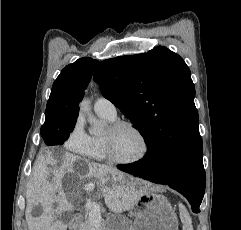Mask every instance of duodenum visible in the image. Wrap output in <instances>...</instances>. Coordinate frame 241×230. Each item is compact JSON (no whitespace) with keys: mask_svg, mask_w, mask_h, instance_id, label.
Here are the masks:
<instances>
[{"mask_svg":"<svg viewBox=\"0 0 241 230\" xmlns=\"http://www.w3.org/2000/svg\"><path fill=\"white\" fill-rule=\"evenodd\" d=\"M80 221H81V217L79 215H75L70 222V227L71 228H77Z\"/></svg>","mask_w":241,"mask_h":230,"instance_id":"1","label":"duodenum"}]
</instances>
